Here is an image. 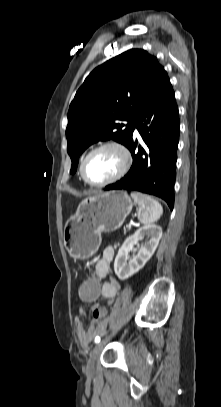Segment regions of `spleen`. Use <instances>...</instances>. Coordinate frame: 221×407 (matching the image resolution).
<instances>
[{
    "label": "spleen",
    "instance_id": "obj_1",
    "mask_svg": "<svg viewBox=\"0 0 221 407\" xmlns=\"http://www.w3.org/2000/svg\"><path fill=\"white\" fill-rule=\"evenodd\" d=\"M131 197L138 205V219L142 224H151L161 217L163 208L153 197L140 192H132Z\"/></svg>",
    "mask_w": 221,
    "mask_h": 407
}]
</instances>
